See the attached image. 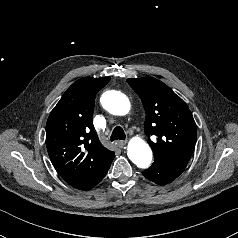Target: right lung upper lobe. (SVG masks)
<instances>
[{
  "label": "right lung upper lobe",
  "instance_id": "obj_1",
  "mask_svg": "<svg viewBox=\"0 0 238 238\" xmlns=\"http://www.w3.org/2000/svg\"><path fill=\"white\" fill-rule=\"evenodd\" d=\"M109 77H84L73 83L50 113L46 146L58 174L78 187L110 164L114 152L98 139L92 122L95 96Z\"/></svg>",
  "mask_w": 238,
  "mask_h": 238
}]
</instances>
